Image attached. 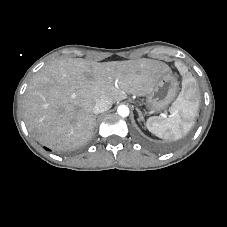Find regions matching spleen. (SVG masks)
Returning <instances> with one entry per match:
<instances>
[{"label":"spleen","instance_id":"1","mask_svg":"<svg viewBox=\"0 0 227 227\" xmlns=\"http://www.w3.org/2000/svg\"><path fill=\"white\" fill-rule=\"evenodd\" d=\"M194 82L190 75L183 79L181 94L172 104L168 118L153 117L147 120V129L151 133L166 141H175L191 129L198 109V102L191 99L196 92Z\"/></svg>","mask_w":227,"mask_h":227}]
</instances>
